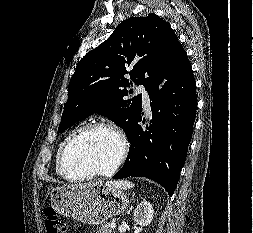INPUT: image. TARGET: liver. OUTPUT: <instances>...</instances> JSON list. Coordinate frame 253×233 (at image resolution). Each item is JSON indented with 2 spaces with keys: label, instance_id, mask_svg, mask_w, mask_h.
Returning a JSON list of instances; mask_svg holds the SVG:
<instances>
[{
  "label": "liver",
  "instance_id": "6515ba94",
  "mask_svg": "<svg viewBox=\"0 0 253 233\" xmlns=\"http://www.w3.org/2000/svg\"><path fill=\"white\" fill-rule=\"evenodd\" d=\"M112 182H107V185H112ZM89 184H99L98 182H93V183H89ZM89 184H82V185H75V186H83V185H89Z\"/></svg>",
  "mask_w": 253,
  "mask_h": 233
}]
</instances>
